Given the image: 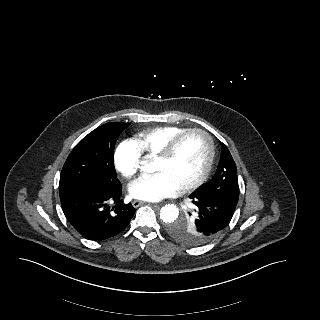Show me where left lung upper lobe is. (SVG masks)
<instances>
[{"label":"left lung upper lobe","instance_id":"5c2ea615","mask_svg":"<svg viewBox=\"0 0 320 320\" xmlns=\"http://www.w3.org/2000/svg\"><path fill=\"white\" fill-rule=\"evenodd\" d=\"M197 191L237 205L239 186L236 164L224 144H222L221 158L215 177L202 184ZM198 214L197 207L192 206L183 218L169 224L168 233L175 240L186 245L195 246L208 242L201 233Z\"/></svg>","mask_w":320,"mask_h":320}]
</instances>
